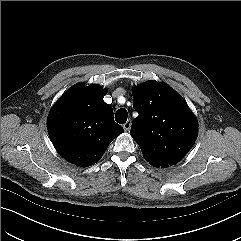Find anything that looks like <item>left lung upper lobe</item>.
<instances>
[{
  "label": "left lung upper lobe",
  "instance_id": "obj_1",
  "mask_svg": "<svg viewBox=\"0 0 241 241\" xmlns=\"http://www.w3.org/2000/svg\"><path fill=\"white\" fill-rule=\"evenodd\" d=\"M139 113L130 134L154 166L179 162L197 137V121L186 101L168 85L148 81L133 88Z\"/></svg>",
  "mask_w": 241,
  "mask_h": 241
}]
</instances>
